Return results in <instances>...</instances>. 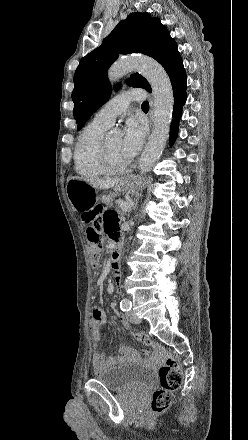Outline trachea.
I'll return each instance as SVG.
<instances>
[{
	"mask_svg": "<svg viewBox=\"0 0 248 440\" xmlns=\"http://www.w3.org/2000/svg\"><path fill=\"white\" fill-rule=\"evenodd\" d=\"M142 109H149V103H148V101H144L143 103H142Z\"/></svg>",
	"mask_w": 248,
	"mask_h": 440,
	"instance_id": "3493384b",
	"label": "trachea"
}]
</instances>
